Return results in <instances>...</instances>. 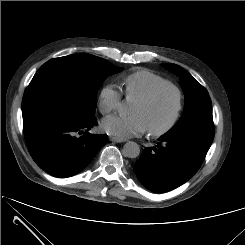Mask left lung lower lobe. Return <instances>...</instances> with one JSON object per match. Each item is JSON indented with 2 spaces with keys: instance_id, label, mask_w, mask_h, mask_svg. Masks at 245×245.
<instances>
[{
  "instance_id": "obj_1",
  "label": "left lung lower lobe",
  "mask_w": 245,
  "mask_h": 245,
  "mask_svg": "<svg viewBox=\"0 0 245 245\" xmlns=\"http://www.w3.org/2000/svg\"><path fill=\"white\" fill-rule=\"evenodd\" d=\"M164 146L146 147L134 170L139 181L155 193L173 190L185 182L201 167L207 148L189 139H172L165 136Z\"/></svg>"
}]
</instances>
